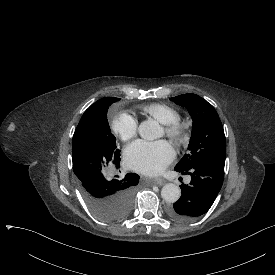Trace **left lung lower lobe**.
Instances as JSON below:
<instances>
[{
	"mask_svg": "<svg viewBox=\"0 0 275 275\" xmlns=\"http://www.w3.org/2000/svg\"><path fill=\"white\" fill-rule=\"evenodd\" d=\"M191 175L189 185L181 184L182 196L168 207L167 214L177 221H189L205 214L216 199L224 178V166L215 163L199 164L189 170H179Z\"/></svg>",
	"mask_w": 275,
	"mask_h": 275,
	"instance_id": "obj_1",
	"label": "left lung lower lobe"
}]
</instances>
